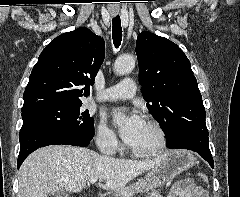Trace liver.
I'll list each match as a JSON object with an SVG mask.
<instances>
[{
    "label": "liver",
    "instance_id": "1",
    "mask_svg": "<svg viewBox=\"0 0 240 197\" xmlns=\"http://www.w3.org/2000/svg\"><path fill=\"white\" fill-rule=\"evenodd\" d=\"M164 157L126 160L81 147H43L29 155L20 167L18 197H47L61 190L80 192L92 178L105 180V184H99L101 188L121 193L128 182L157 166Z\"/></svg>",
    "mask_w": 240,
    "mask_h": 197
}]
</instances>
